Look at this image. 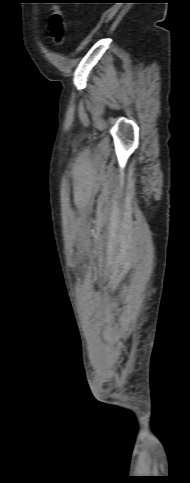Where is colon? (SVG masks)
Here are the masks:
<instances>
[{
  "mask_svg": "<svg viewBox=\"0 0 190 483\" xmlns=\"http://www.w3.org/2000/svg\"><path fill=\"white\" fill-rule=\"evenodd\" d=\"M50 37L55 46H61L65 41V23L59 10L51 13L47 25Z\"/></svg>",
  "mask_w": 190,
  "mask_h": 483,
  "instance_id": "obj_1",
  "label": "colon"
}]
</instances>
